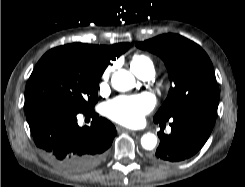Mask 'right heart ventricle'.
Here are the masks:
<instances>
[{
    "instance_id": "e07e8e85",
    "label": "right heart ventricle",
    "mask_w": 245,
    "mask_h": 187,
    "mask_svg": "<svg viewBox=\"0 0 245 187\" xmlns=\"http://www.w3.org/2000/svg\"><path fill=\"white\" fill-rule=\"evenodd\" d=\"M130 67L139 76L146 69L153 68L154 63L150 56L143 53H136L130 59Z\"/></svg>"
}]
</instances>
